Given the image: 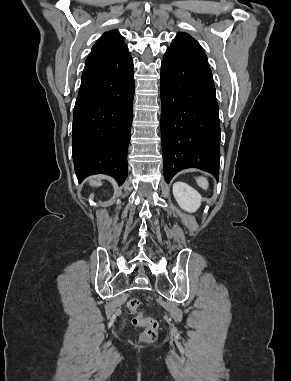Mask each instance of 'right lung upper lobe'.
<instances>
[{
    "mask_svg": "<svg viewBox=\"0 0 291 381\" xmlns=\"http://www.w3.org/2000/svg\"><path fill=\"white\" fill-rule=\"evenodd\" d=\"M128 50L126 44L124 43L123 37L119 34L117 30H111L104 33L92 47L89 56L111 54V53H122Z\"/></svg>",
    "mask_w": 291,
    "mask_h": 381,
    "instance_id": "obj_1",
    "label": "right lung upper lobe"
}]
</instances>
